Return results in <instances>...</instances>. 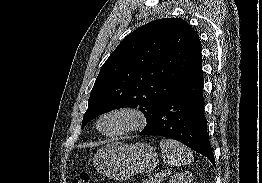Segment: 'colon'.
<instances>
[{
	"mask_svg": "<svg viewBox=\"0 0 262 183\" xmlns=\"http://www.w3.org/2000/svg\"><path fill=\"white\" fill-rule=\"evenodd\" d=\"M90 175L88 173L79 174L72 183H89Z\"/></svg>",
	"mask_w": 262,
	"mask_h": 183,
	"instance_id": "5ec220e1",
	"label": "colon"
}]
</instances>
